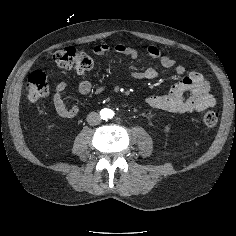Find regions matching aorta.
Instances as JSON below:
<instances>
[{
    "instance_id": "762f6f07",
    "label": "aorta",
    "mask_w": 236,
    "mask_h": 236,
    "mask_svg": "<svg viewBox=\"0 0 236 236\" xmlns=\"http://www.w3.org/2000/svg\"><path fill=\"white\" fill-rule=\"evenodd\" d=\"M105 111H109L108 109H106ZM106 115H107V113H106Z\"/></svg>"
}]
</instances>
